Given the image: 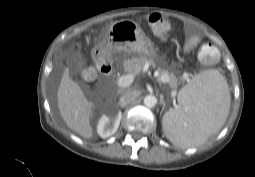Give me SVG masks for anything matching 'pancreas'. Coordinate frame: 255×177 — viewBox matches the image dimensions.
Here are the masks:
<instances>
[{"label": "pancreas", "mask_w": 255, "mask_h": 177, "mask_svg": "<svg viewBox=\"0 0 255 177\" xmlns=\"http://www.w3.org/2000/svg\"><path fill=\"white\" fill-rule=\"evenodd\" d=\"M153 64L154 62L145 56L132 57L131 59L125 60L123 63L124 70L127 73H137L146 64ZM159 78L162 82L168 83L171 88H176L178 80L173 73H169L166 70L159 71Z\"/></svg>", "instance_id": "1"}]
</instances>
